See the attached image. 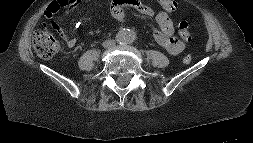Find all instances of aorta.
Here are the masks:
<instances>
[{
	"label": "aorta",
	"instance_id": "aorta-1",
	"mask_svg": "<svg viewBox=\"0 0 253 143\" xmlns=\"http://www.w3.org/2000/svg\"><path fill=\"white\" fill-rule=\"evenodd\" d=\"M136 38V34L133 30L124 28L120 30L117 34V40L121 44L132 43Z\"/></svg>",
	"mask_w": 253,
	"mask_h": 143
}]
</instances>
